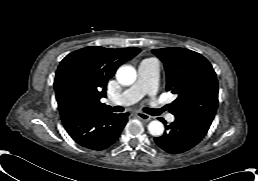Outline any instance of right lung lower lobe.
<instances>
[{
    "mask_svg": "<svg viewBox=\"0 0 258 181\" xmlns=\"http://www.w3.org/2000/svg\"><path fill=\"white\" fill-rule=\"evenodd\" d=\"M128 114H114L110 110L81 109L62 116L61 120L68 134L79 145L104 150L119 137Z\"/></svg>",
    "mask_w": 258,
    "mask_h": 181,
    "instance_id": "obj_1",
    "label": "right lung lower lobe"
}]
</instances>
